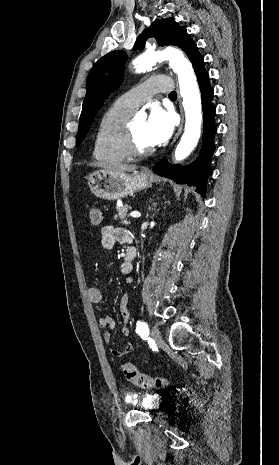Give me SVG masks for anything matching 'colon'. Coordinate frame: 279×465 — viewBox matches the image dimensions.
Segmentation results:
<instances>
[{"label": "colon", "mask_w": 279, "mask_h": 465, "mask_svg": "<svg viewBox=\"0 0 279 465\" xmlns=\"http://www.w3.org/2000/svg\"><path fill=\"white\" fill-rule=\"evenodd\" d=\"M89 218L93 225H100L102 222V212L97 206L89 207ZM122 373L128 381L135 384L136 386L144 389L150 388H165L170 385V381L162 377H152L146 374H142L138 369L131 363H125L121 367Z\"/></svg>", "instance_id": "5ec220e1"}]
</instances>
